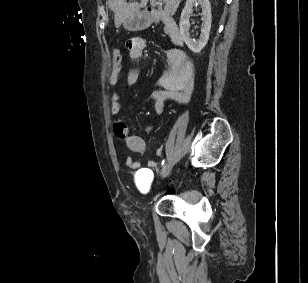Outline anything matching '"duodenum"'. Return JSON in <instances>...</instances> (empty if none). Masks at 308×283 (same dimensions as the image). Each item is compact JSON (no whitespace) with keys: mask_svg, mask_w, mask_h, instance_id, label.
Wrapping results in <instances>:
<instances>
[{"mask_svg":"<svg viewBox=\"0 0 308 283\" xmlns=\"http://www.w3.org/2000/svg\"><path fill=\"white\" fill-rule=\"evenodd\" d=\"M145 18L149 23H162L172 43L177 47L183 45L181 31L174 18L153 8L146 9Z\"/></svg>","mask_w":308,"mask_h":283,"instance_id":"obj_1","label":"duodenum"}]
</instances>
